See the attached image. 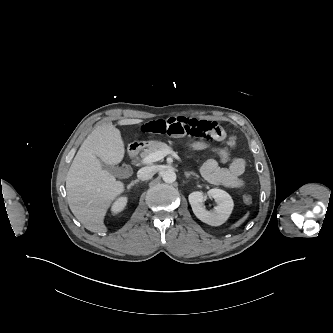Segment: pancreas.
<instances>
[{"label":"pancreas","instance_id":"pancreas-1","mask_svg":"<svg viewBox=\"0 0 333 333\" xmlns=\"http://www.w3.org/2000/svg\"><path fill=\"white\" fill-rule=\"evenodd\" d=\"M164 149L172 150V148L170 146H168L166 143L158 142V141L153 142L148 146V149H146L142 152L141 156L144 158L145 156H147L151 153H154L159 150H164Z\"/></svg>","mask_w":333,"mask_h":333}]
</instances>
